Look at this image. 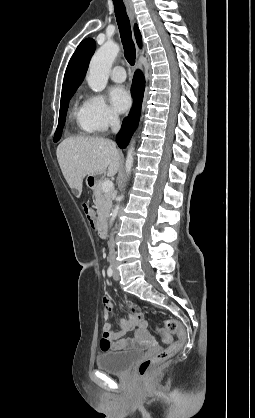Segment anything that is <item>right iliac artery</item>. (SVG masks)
<instances>
[{"mask_svg":"<svg viewBox=\"0 0 255 418\" xmlns=\"http://www.w3.org/2000/svg\"><path fill=\"white\" fill-rule=\"evenodd\" d=\"M107 275H108L109 277H111V276L113 275V268H112V266H109V268H108V270H107Z\"/></svg>","mask_w":255,"mask_h":418,"instance_id":"1","label":"right iliac artery"}]
</instances>
